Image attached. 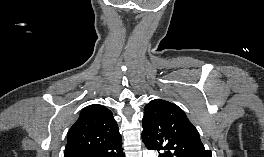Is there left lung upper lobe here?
I'll return each mask as SVG.
<instances>
[{
  "mask_svg": "<svg viewBox=\"0 0 264 157\" xmlns=\"http://www.w3.org/2000/svg\"><path fill=\"white\" fill-rule=\"evenodd\" d=\"M142 140L148 149L164 151L159 157H212L184 111L165 100L155 99L144 108Z\"/></svg>",
  "mask_w": 264,
  "mask_h": 157,
  "instance_id": "5c2ea615",
  "label": "left lung upper lobe"
}]
</instances>
